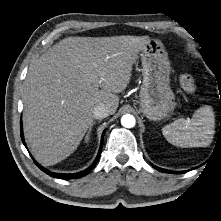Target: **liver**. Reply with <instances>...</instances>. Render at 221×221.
<instances>
[{
  "label": "liver",
  "instance_id": "liver-1",
  "mask_svg": "<svg viewBox=\"0 0 221 221\" xmlns=\"http://www.w3.org/2000/svg\"><path fill=\"white\" fill-rule=\"evenodd\" d=\"M149 41L147 36L68 37L30 65L23 123L39 163L54 165L77 149L95 106L116 112V94L127 88L137 55Z\"/></svg>",
  "mask_w": 221,
  "mask_h": 221
}]
</instances>
